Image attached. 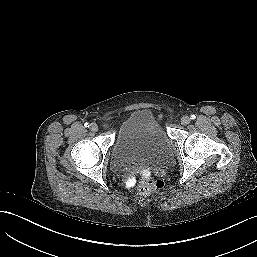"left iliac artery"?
I'll use <instances>...</instances> for the list:
<instances>
[{
	"label": "left iliac artery",
	"mask_w": 257,
	"mask_h": 257,
	"mask_svg": "<svg viewBox=\"0 0 257 257\" xmlns=\"http://www.w3.org/2000/svg\"><path fill=\"white\" fill-rule=\"evenodd\" d=\"M196 118V116L193 114L190 116V119L194 120Z\"/></svg>",
	"instance_id": "1"
}]
</instances>
